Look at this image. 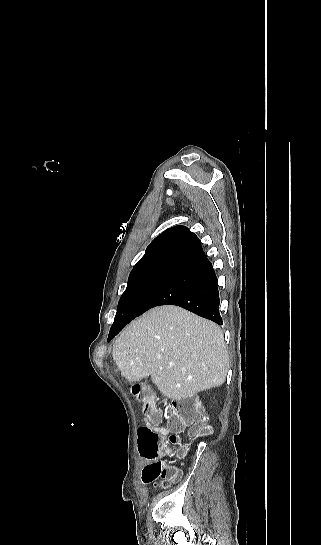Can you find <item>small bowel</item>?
<instances>
[{
	"label": "small bowel",
	"mask_w": 321,
	"mask_h": 545,
	"mask_svg": "<svg viewBox=\"0 0 321 545\" xmlns=\"http://www.w3.org/2000/svg\"><path fill=\"white\" fill-rule=\"evenodd\" d=\"M144 422L146 425L150 426L155 432L159 433L161 436H167L168 434H170V429H168L167 427L161 426L158 423H152L146 418L144 419ZM170 454H171V449L167 445H164L162 455H170ZM160 464L164 465V463L159 460H152L146 464V466L142 470V476H141L143 483L151 482V476L154 472L159 470ZM176 470L178 472V479H179L181 474L178 469Z\"/></svg>",
	"instance_id": "c3829d8e"
}]
</instances>
